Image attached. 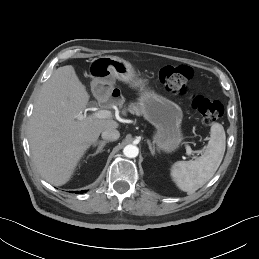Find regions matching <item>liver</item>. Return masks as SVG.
Here are the masks:
<instances>
[{
  "label": "liver",
  "mask_w": 259,
  "mask_h": 259,
  "mask_svg": "<svg viewBox=\"0 0 259 259\" xmlns=\"http://www.w3.org/2000/svg\"><path fill=\"white\" fill-rule=\"evenodd\" d=\"M89 99L74 67L66 65L54 71L34 104L28 128L33 162L42 177L55 186L71 179L101 132L119 127L110 118L84 116Z\"/></svg>",
  "instance_id": "1"
}]
</instances>
